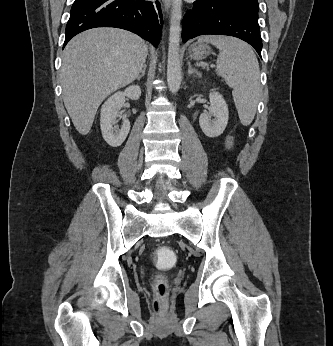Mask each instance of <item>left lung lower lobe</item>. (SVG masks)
<instances>
[{
  "label": "left lung lower lobe",
  "instance_id": "obj_1",
  "mask_svg": "<svg viewBox=\"0 0 333 346\" xmlns=\"http://www.w3.org/2000/svg\"><path fill=\"white\" fill-rule=\"evenodd\" d=\"M208 34L240 38L252 45L261 57L262 39L258 18L233 9L222 0H197L183 18V42Z\"/></svg>",
  "mask_w": 333,
  "mask_h": 346
}]
</instances>
